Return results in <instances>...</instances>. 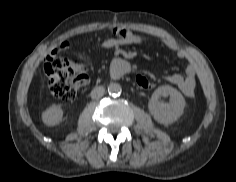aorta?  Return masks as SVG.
<instances>
[{"label": "aorta", "instance_id": "aorta-1", "mask_svg": "<svg viewBox=\"0 0 236 182\" xmlns=\"http://www.w3.org/2000/svg\"><path fill=\"white\" fill-rule=\"evenodd\" d=\"M122 92V88L118 83H110L108 86V93L110 95H119Z\"/></svg>", "mask_w": 236, "mask_h": 182}]
</instances>
